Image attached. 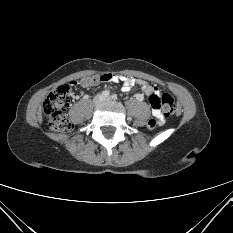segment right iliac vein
<instances>
[{"mask_svg":"<svg viewBox=\"0 0 233 233\" xmlns=\"http://www.w3.org/2000/svg\"><path fill=\"white\" fill-rule=\"evenodd\" d=\"M103 101V96L102 95H97L93 99V102L95 105H99Z\"/></svg>","mask_w":233,"mask_h":233,"instance_id":"obj_1","label":"right iliac vein"}]
</instances>
